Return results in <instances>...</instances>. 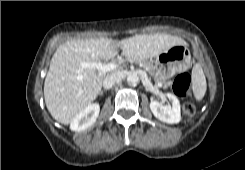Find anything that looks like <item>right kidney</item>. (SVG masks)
Here are the masks:
<instances>
[{
    "label": "right kidney",
    "mask_w": 245,
    "mask_h": 170,
    "mask_svg": "<svg viewBox=\"0 0 245 170\" xmlns=\"http://www.w3.org/2000/svg\"><path fill=\"white\" fill-rule=\"evenodd\" d=\"M100 111V106L97 103L86 106L81 112H79L70 123V129L72 131L80 132L90 126H92Z\"/></svg>",
    "instance_id": "right-kidney-1"
}]
</instances>
